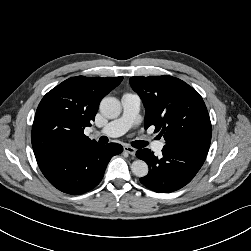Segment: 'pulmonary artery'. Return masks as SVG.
Here are the masks:
<instances>
[{
  "label": "pulmonary artery",
  "mask_w": 251,
  "mask_h": 251,
  "mask_svg": "<svg viewBox=\"0 0 251 251\" xmlns=\"http://www.w3.org/2000/svg\"><path fill=\"white\" fill-rule=\"evenodd\" d=\"M123 113L122 115L108 123L102 129L95 131V134L104 135L107 137H117L124 134L137 121L141 106V99L135 93H124L121 99ZM164 141H154L152 149L156 153L163 150Z\"/></svg>",
  "instance_id": "obj_1"
}]
</instances>
